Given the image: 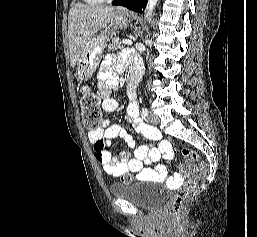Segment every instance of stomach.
<instances>
[{
    "instance_id": "stomach-1",
    "label": "stomach",
    "mask_w": 257,
    "mask_h": 237,
    "mask_svg": "<svg viewBox=\"0 0 257 237\" xmlns=\"http://www.w3.org/2000/svg\"><path fill=\"white\" fill-rule=\"evenodd\" d=\"M133 18L131 13L115 12L110 24L91 37L78 59L76 69L78 81H87L91 78L102 59L104 48L111 34L117 29L127 27Z\"/></svg>"
}]
</instances>
